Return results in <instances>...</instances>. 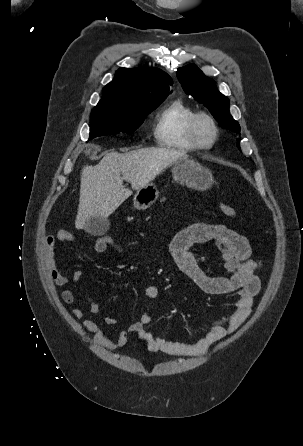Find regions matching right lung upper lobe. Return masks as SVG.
Here are the masks:
<instances>
[{
	"instance_id": "obj_1",
	"label": "right lung upper lobe",
	"mask_w": 303,
	"mask_h": 446,
	"mask_svg": "<svg viewBox=\"0 0 303 446\" xmlns=\"http://www.w3.org/2000/svg\"><path fill=\"white\" fill-rule=\"evenodd\" d=\"M170 76L157 68H121L103 89L95 108L142 110L162 103L172 85Z\"/></svg>"
}]
</instances>
